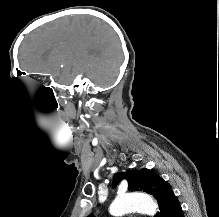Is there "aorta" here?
<instances>
[{"instance_id":"762f6f07","label":"aorta","mask_w":219,"mask_h":217,"mask_svg":"<svg viewBox=\"0 0 219 217\" xmlns=\"http://www.w3.org/2000/svg\"><path fill=\"white\" fill-rule=\"evenodd\" d=\"M132 211L154 215L157 211V204L147 195H125L117 197L109 207V212L114 217H121Z\"/></svg>"}]
</instances>
